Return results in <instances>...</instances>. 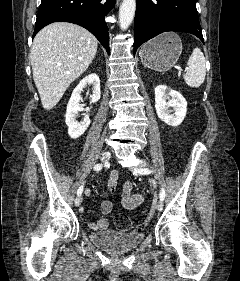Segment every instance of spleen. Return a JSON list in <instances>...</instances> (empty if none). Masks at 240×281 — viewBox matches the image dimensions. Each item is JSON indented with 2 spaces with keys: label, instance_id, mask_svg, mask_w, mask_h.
I'll list each match as a JSON object with an SVG mask.
<instances>
[{
  "label": "spleen",
  "instance_id": "1",
  "mask_svg": "<svg viewBox=\"0 0 240 281\" xmlns=\"http://www.w3.org/2000/svg\"><path fill=\"white\" fill-rule=\"evenodd\" d=\"M187 65L188 71L183 75L184 81L191 88L200 87L206 76V60L198 47L193 49Z\"/></svg>",
  "mask_w": 240,
  "mask_h": 281
}]
</instances>
